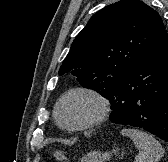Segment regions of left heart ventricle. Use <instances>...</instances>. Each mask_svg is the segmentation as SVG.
<instances>
[{
  "mask_svg": "<svg viewBox=\"0 0 168 162\" xmlns=\"http://www.w3.org/2000/svg\"><path fill=\"white\" fill-rule=\"evenodd\" d=\"M96 111L93 101L85 97H72L66 100L60 108V119L66 125H77Z\"/></svg>",
  "mask_w": 168,
  "mask_h": 162,
  "instance_id": "left-heart-ventricle-1",
  "label": "left heart ventricle"
}]
</instances>
